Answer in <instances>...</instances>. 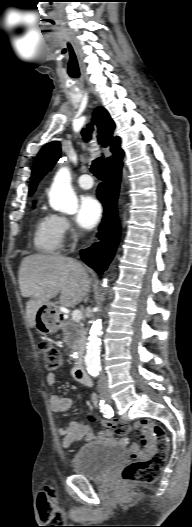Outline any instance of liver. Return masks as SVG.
Masks as SVG:
<instances>
[{
    "instance_id": "6515ba94",
    "label": "liver",
    "mask_w": 192,
    "mask_h": 527,
    "mask_svg": "<svg viewBox=\"0 0 192 527\" xmlns=\"http://www.w3.org/2000/svg\"><path fill=\"white\" fill-rule=\"evenodd\" d=\"M88 270L73 258L33 254L23 258L19 268V287L26 303L28 326L35 327L36 313L42 304L60 293L65 307L79 304L90 290Z\"/></svg>"
}]
</instances>
